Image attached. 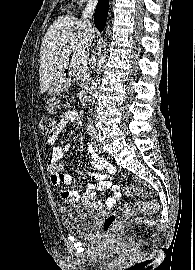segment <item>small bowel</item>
<instances>
[{
    "label": "small bowel",
    "mask_w": 195,
    "mask_h": 270,
    "mask_svg": "<svg viewBox=\"0 0 195 270\" xmlns=\"http://www.w3.org/2000/svg\"><path fill=\"white\" fill-rule=\"evenodd\" d=\"M75 123L80 126L79 115L76 110H67L59 118L54 133L48 137V144L52 147V153L47 163V171L49 173L51 184L58 189L59 195L64 204L73 205L79 201L95 202L96 192L111 189L112 196H110L106 205L109 208L116 206L117 201L120 199V187L113 183V175L116 173V167L102 158L96 153L95 149L89 145L88 152L91 156V164L98 170L107 171L103 173H90L89 175L94 178L97 183L89 184L83 194L76 190H63L62 185H70L73 182L71 174L65 172V153L70 148L69 145L60 146L57 143L58 135L70 124Z\"/></svg>",
    "instance_id": "small-bowel-1"
}]
</instances>
